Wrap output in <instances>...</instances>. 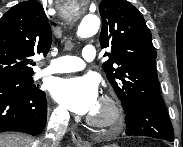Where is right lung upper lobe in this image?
Here are the masks:
<instances>
[{
	"mask_svg": "<svg viewBox=\"0 0 183 147\" xmlns=\"http://www.w3.org/2000/svg\"><path fill=\"white\" fill-rule=\"evenodd\" d=\"M51 40V28L39 2L13 6L0 19V80L33 74L31 57L46 55Z\"/></svg>",
	"mask_w": 183,
	"mask_h": 147,
	"instance_id": "1",
	"label": "right lung upper lobe"
}]
</instances>
